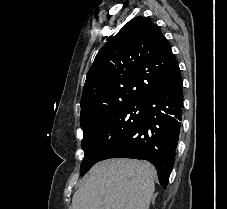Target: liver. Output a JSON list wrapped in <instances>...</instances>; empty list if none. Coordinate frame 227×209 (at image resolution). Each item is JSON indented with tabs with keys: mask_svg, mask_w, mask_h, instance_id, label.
Masks as SVG:
<instances>
[{
	"mask_svg": "<svg viewBox=\"0 0 227 209\" xmlns=\"http://www.w3.org/2000/svg\"><path fill=\"white\" fill-rule=\"evenodd\" d=\"M155 175L153 165L146 161H101L74 193L72 209H149Z\"/></svg>",
	"mask_w": 227,
	"mask_h": 209,
	"instance_id": "1",
	"label": "liver"
}]
</instances>
